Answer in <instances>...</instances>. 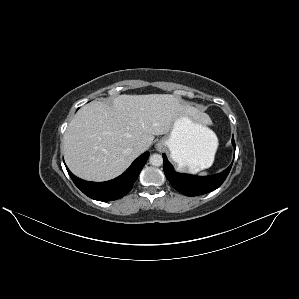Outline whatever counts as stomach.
<instances>
[{
	"mask_svg": "<svg viewBox=\"0 0 299 299\" xmlns=\"http://www.w3.org/2000/svg\"><path fill=\"white\" fill-rule=\"evenodd\" d=\"M159 144L168 147L172 159L179 163L180 168L194 166L202 169L213 163L218 139L205 125L180 112L173 121L169 135L162 138Z\"/></svg>",
	"mask_w": 299,
	"mask_h": 299,
	"instance_id": "stomach-1",
	"label": "stomach"
}]
</instances>
